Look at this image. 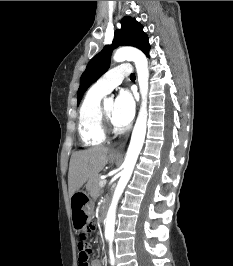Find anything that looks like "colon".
Listing matches in <instances>:
<instances>
[{
  "instance_id": "obj_1",
  "label": "colon",
  "mask_w": 233,
  "mask_h": 266,
  "mask_svg": "<svg viewBox=\"0 0 233 266\" xmlns=\"http://www.w3.org/2000/svg\"><path fill=\"white\" fill-rule=\"evenodd\" d=\"M86 232H79L78 234V249H79V266H87L88 259L92 253L91 246L86 241V236L88 233L95 231L96 226L94 223L86 226Z\"/></svg>"
}]
</instances>
